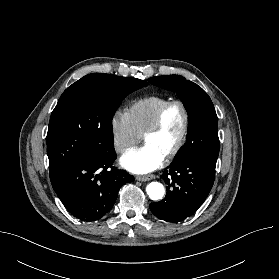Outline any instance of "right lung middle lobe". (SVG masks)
<instances>
[{
    "label": "right lung middle lobe",
    "instance_id": "dd1d6c3e",
    "mask_svg": "<svg viewBox=\"0 0 279 279\" xmlns=\"http://www.w3.org/2000/svg\"><path fill=\"white\" fill-rule=\"evenodd\" d=\"M145 86V80L93 73L68 87L48 127L50 179L82 158L111 153L114 112L128 94Z\"/></svg>",
    "mask_w": 279,
    "mask_h": 279
}]
</instances>
